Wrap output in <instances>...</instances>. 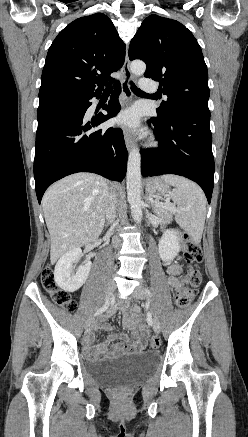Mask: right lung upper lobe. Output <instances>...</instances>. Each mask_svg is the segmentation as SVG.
Wrapping results in <instances>:
<instances>
[{"instance_id": "right-lung-upper-lobe-1", "label": "right lung upper lobe", "mask_w": 248, "mask_h": 437, "mask_svg": "<svg viewBox=\"0 0 248 437\" xmlns=\"http://www.w3.org/2000/svg\"><path fill=\"white\" fill-rule=\"evenodd\" d=\"M125 59V45L112 21L102 13L76 19L50 46L39 95L51 91L91 95L103 90ZM98 86V88H96Z\"/></svg>"}]
</instances>
